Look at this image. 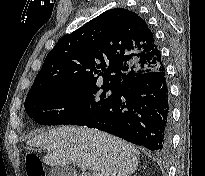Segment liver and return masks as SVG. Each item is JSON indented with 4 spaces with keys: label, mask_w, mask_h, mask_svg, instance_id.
<instances>
[{
    "label": "liver",
    "mask_w": 205,
    "mask_h": 176,
    "mask_svg": "<svg viewBox=\"0 0 205 176\" xmlns=\"http://www.w3.org/2000/svg\"><path fill=\"white\" fill-rule=\"evenodd\" d=\"M27 144L48 150L43 157L47 165L84 164L91 173L80 176H130L138 167L139 151L133 145L96 129L58 127Z\"/></svg>",
    "instance_id": "6515ba94"
}]
</instances>
